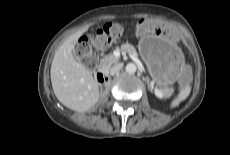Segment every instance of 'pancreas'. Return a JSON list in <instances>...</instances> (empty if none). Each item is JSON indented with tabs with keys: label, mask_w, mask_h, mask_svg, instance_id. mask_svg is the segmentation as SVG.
I'll return each mask as SVG.
<instances>
[{
	"label": "pancreas",
	"mask_w": 230,
	"mask_h": 155,
	"mask_svg": "<svg viewBox=\"0 0 230 155\" xmlns=\"http://www.w3.org/2000/svg\"><path fill=\"white\" fill-rule=\"evenodd\" d=\"M122 51L128 52L130 55L136 56V50L134 47H130L128 45H122L120 48ZM119 61V58L115 57L112 54H109L105 57H103L100 60V66L101 68H104V71L107 70L112 64L117 63ZM173 90L172 89H165L163 91L164 97H170L172 94Z\"/></svg>",
	"instance_id": "cf45deb5"
}]
</instances>
